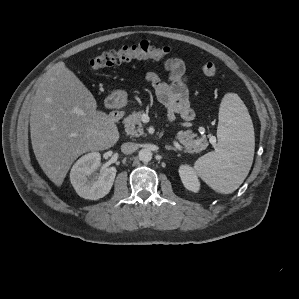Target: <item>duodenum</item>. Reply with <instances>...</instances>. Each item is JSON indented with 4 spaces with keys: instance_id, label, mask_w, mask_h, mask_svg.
<instances>
[{
    "instance_id": "1",
    "label": "duodenum",
    "mask_w": 299,
    "mask_h": 299,
    "mask_svg": "<svg viewBox=\"0 0 299 299\" xmlns=\"http://www.w3.org/2000/svg\"><path fill=\"white\" fill-rule=\"evenodd\" d=\"M110 103L112 105V109L109 113V120L111 123L116 124L122 119L124 115V108L121 103L115 101V98H111Z\"/></svg>"
}]
</instances>
